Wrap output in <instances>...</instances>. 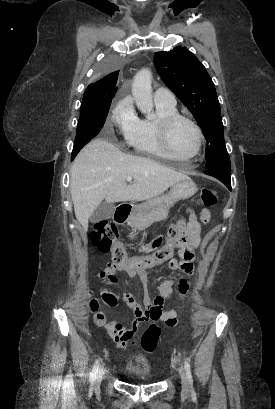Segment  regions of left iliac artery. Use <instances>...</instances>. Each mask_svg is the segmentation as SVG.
<instances>
[{"instance_id": "44dca946", "label": "left iliac artery", "mask_w": 275, "mask_h": 409, "mask_svg": "<svg viewBox=\"0 0 275 409\" xmlns=\"http://www.w3.org/2000/svg\"><path fill=\"white\" fill-rule=\"evenodd\" d=\"M184 368H185V371H186V375H187L189 385L192 387L193 386V378H192V374H191L190 364H189V362L187 360L184 361Z\"/></svg>"}]
</instances>
